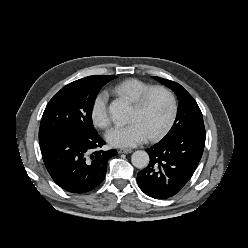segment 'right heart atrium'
<instances>
[{"label": "right heart atrium", "instance_id": "right-heart-atrium-1", "mask_svg": "<svg viewBox=\"0 0 248 248\" xmlns=\"http://www.w3.org/2000/svg\"><path fill=\"white\" fill-rule=\"evenodd\" d=\"M108 95L106 92L99 93L91 106V118L93 123L101 128L106 129L111 123L110 114L107 107Z\"/></svg>", "mask_w": 248, "mask_h": 248}]
</instances>
